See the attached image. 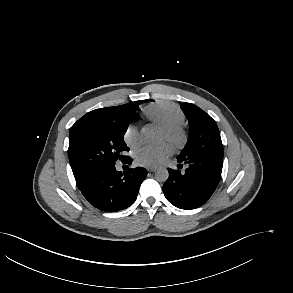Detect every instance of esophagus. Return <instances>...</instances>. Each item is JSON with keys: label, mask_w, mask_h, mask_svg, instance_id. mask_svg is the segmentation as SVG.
<instances>
[{"label": "esophagus", "mask_w": 293, "mask_h": 293, "mask_svg": "<svg viewBox=\"0 0 293 293\" xmlns=\"http://www.w3.org/2000/svg\"><path fill=\"white\" fill-rule=\"evenodd\" d=\"M146 169H147L148 172L156 171V167H147Z\"/></svg>", "instance_id": "obj_1"}]
</instances>
